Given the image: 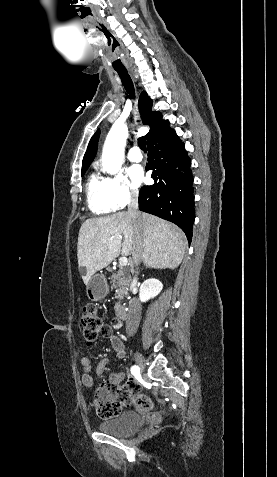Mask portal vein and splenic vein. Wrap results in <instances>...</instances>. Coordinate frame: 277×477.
<instances>
[{"instance_id":"18ae733b","label":"portal vein and splenic vein","mask_w":277,"mask_h":477,"mask_svg":"<svg viewBox=\"0 0 277 477\" xmlns=\"http://www.w3.org/2000/svg\"><path fill=\"white\" fill-rule=\"evenodd\" d=\"M127 264H128V259H127L126 256H122V257L119 258V265L121 267L126 266Z\"/></svg>"}]
</instances>
